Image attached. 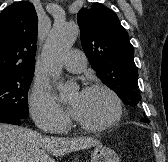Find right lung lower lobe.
Returning <instances> with one entry per match:
<instances>
[{
	"label": "right lung lower lobe",
	"mask_w": 168,
	"mask_h": 162,
	"mask_svg": "<svg viewBox=\"0 0 168 162\" xmlns=\"http://www.w3.org/2000/svg\"><path fill=\"white\" fill-rule=\"evenodd\" d=\"M0 122L14 124V125H20L21 119L16 118V117L0 115Z\"/></svg>",
	"instance_id": "right-lung-lower-lobe-1"
}]
</instances>
